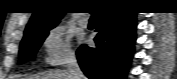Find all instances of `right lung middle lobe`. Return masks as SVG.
Listing matches in <instances>:
<instances>
[{
    "instance_id": "1",
    "label": "right lung middle lobe",
    "mask_w": 177,
    "mask_h": 79,
    "mask_svg": "<svg viewBox=\"0 0 177 79\" xmlns=\"http://www.w3.org/2000/svg\"><path fill=\"white\" fill-rule=\"evenodd\" d=\"M49 30L50 29L40 30L22 40L19 51V64L31 61L35 58V54L43 43L44 39L48 36Z\"/></svg>"
}]
</instances>
